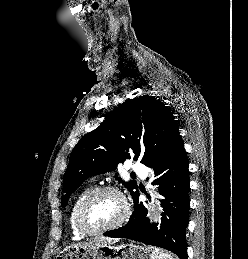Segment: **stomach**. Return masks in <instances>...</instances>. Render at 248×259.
Segmentation results:
<instances>
[{
	"instance_id": "0dacf381",
	"label": "stomach",
	"mask_w": 248,
	"mask_h": 259,
	"mask_svg": "<svg viewBox=\"0 0 248 259\" xmlns=\"http://www.w3.org/2000/svg\"><path fill=\"white\" fill-rule=\"evenodd\" d=\"M156 249L132 243L94 248L70 246L61 251L56 259H157Z\"/></svg>"
}]
</instances>
